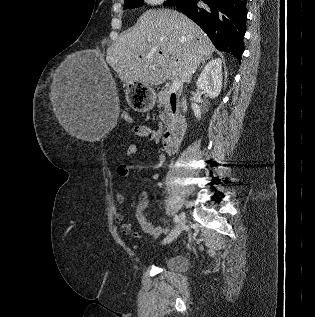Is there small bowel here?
<instances>
[{
    "mask_svg": "<svg viewBox=\"0 0 315 317\" xmlns=\"http://www.w3.org/2000/svg\"><path fill=\"white\" fill-rule=\"evenodd\" d=\"M132 131L134 134L148 141L158 142L159 140V133L147 125H134L132 128ZM137 152H138V146L134 143L128 144L125 148V155L128 157L134 156ZM164 161H165V155L163 153H160L159 162L155 167L156 168L162 167ZM116 172L120 177H123V178L128 177L130 175L129 167L123 164L118 165L116 167ZM116 200L118 202H123L124 195L122 193H117ZM147 204H148L147 194L142 193L139 197V202L135 211L136 219L145 233L154 237L160 236L166 231V228L161 226H154L152 223L146 220L144 215V210L147 207ZM114 221L120 225V231L123 234L129 235L133 238H140V235L133 231V226L130 223L124 222V218L122 214L115 213Z\"/></svg>",
    "mask_w": 315,
    "mask_h": 317,
    "instance_id": "1",
    "label": "small bowel"
}]
</instances>
